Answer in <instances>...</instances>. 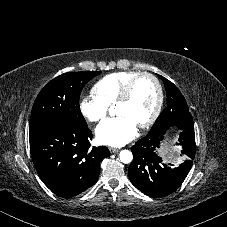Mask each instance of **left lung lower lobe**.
Masks as SVG:
<instances>
[{"instance_id":"obj_1","label":"left lung lower lobe","mask_w":227,"mask_h":227,"mask_svg":"<svg viewBox=\"0 0 227 227\" xmlns=\"http://www.w3.org/2000/svg\"><path fill=\"white\" fill-rule=\"evenodd\" d=\"M164 135L144 137L131 148L133 161L128 169L129 178L137 189L155 198L165 197L181 186L195 157L194 126L181 129L179 133L177 145L182 146V153L188 159L176 168H170L157 153Z\"/></svg>"}]
</instances>
